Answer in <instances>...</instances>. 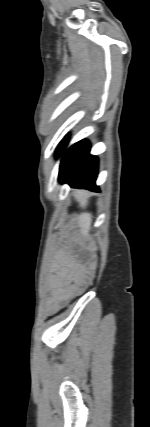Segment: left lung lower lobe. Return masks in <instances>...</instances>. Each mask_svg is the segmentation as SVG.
I'll return each instance as SVG.
<instances>
[{
  "label": "left lung lower lobe",
  "instance_id": "obj_1",
  "mask_svg": "<svg viewBox=\"0 0 150 427\" xmlns=\"http://www.w3.org/2000/svg\"><path fill=\"white\" fill-rule=\"evenodd\" d=\"M65 146L66 140H63L57 149V154L63 151ZM89 150V142L82 140L65 152L59 171L61 183H68L73 188H85L98 192V187L95 186L98 161L95 156L89 154Z\"/></svg>",
  "mask_w": 150,
  "mask_h": 427
}]
</instances>
